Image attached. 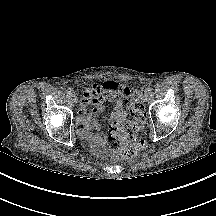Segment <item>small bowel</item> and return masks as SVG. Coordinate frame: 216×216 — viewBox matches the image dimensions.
<instances>
[{"mask_svg": "<svg viewBox=\"0 0 216 216\" xmlns=\"http://www.w3.org/2000/svg\"><path fill=\"white\" fill-rule=\"evenodd\" d=\"M129 95L130 88L115 81L99 82L90 86L83 94L78 111L77 129L80 136L89 140L95 147L103 146V135L93 132L100 128L95 115L103 112L104 103L109 101L114 103V109L108 116L109 121L123 119L126 116Z\"/></svg>", "mask_w": 216, "mask_h": 216, "instance_id": "small-bowel-1", "label": "small bowel"}]
</instances>
